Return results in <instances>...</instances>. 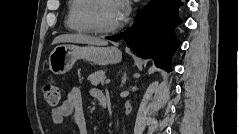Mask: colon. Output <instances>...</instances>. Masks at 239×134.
Segmentation results:
<instances>
[{"label": "colon", "instance_id": "colon-1", "mask_svg": "<svg viewBox=\"0 0 239 134\" xmlns=\"http://www.w3.org/2000/svg\"><path fill=\"white\" fill-rule=\"evenodd\" d=\"M43 94L46 102L51 106L58 105L60 101V90L54 83H46L43 87Z\"/></svg>", "mask_w": 239, "mask_h": 134}]
</instances>
